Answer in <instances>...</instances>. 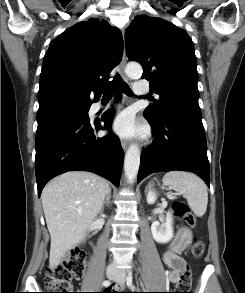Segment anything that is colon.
I'll list each match as a JSON object with an SVG mask.
<instances>
[{
  "label": "colon",
  "mask_w": 245,
  "mask_h": 293,
  "mask_svg": "<svg viewBox=\"0 0 245 293\" xmlns=\"http://www.w3.org/2000/svg\"><path fill=\"white\" fill-rule=\"evenodd\" d=\"M177 217L182 218L189 226L196 224V217L190 212L189 206L183 201L173 203ZM204 253V242L195 239L191 246V254L200 258ZM86 254L79 250H70L65 257L55 265H48L45 270V293H77L72 291V280L79 279L84 272ZM191 284V272L185 269L178 281V289H185Z\"/></svg>",
  "instance_id": "1"
}]
</instances>
